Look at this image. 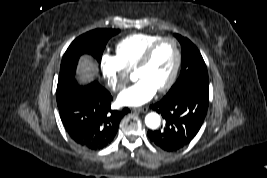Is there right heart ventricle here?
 <instances>
[{
    "label": "right heart ventricle",
    "mask_w": 267,
    "mask_h": 178,
    "mask_svg": "<svg viewBox=\"0 0 267 178\" xmlns=\"http://www.w3.org/2000/svg\"><path fill=\"white\" fill-rule=\"evenodd\" d=\"M162 36L158 34L136 33L121 39L116 45V57L131 71L136 68L148 47Z\"/></svg>",
    "instance_id": "right-heart-ventricle-1"
}]
</instances>
